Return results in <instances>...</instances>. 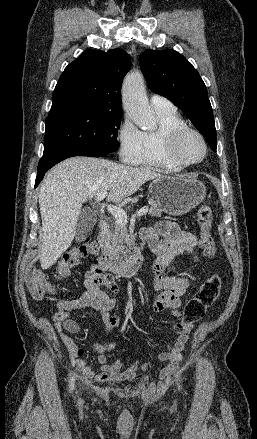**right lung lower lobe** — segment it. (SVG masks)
<instances>
[{"mask_svg":"<svg viewBox=\"0 0 257 439\" xmlns=\"http://www.w3.org/2000/svg\"><path fill=\"white\" fill-rule=\"evenodd\" d=\"M107 154L108 153L97 150H66L55 154L43 156L38 164V175L36 177L35 187L43 179L44 174L48 169L66 158L73 156L104 157Z\"/></svg>","mask_w":257,"mask_h":439,"instance_id":"obj_1","label":"right lung lower lobe"}]
</instances>
